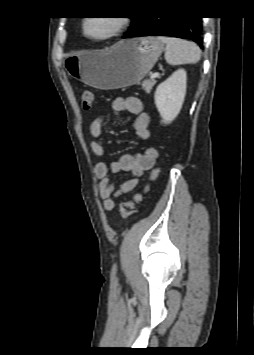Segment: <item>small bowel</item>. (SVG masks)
I'll list each match as a JSON object with an SVG mask.
<instances>
[{
	"instance_id": "1",
	"label": "small bowel",
	"mask_w": 254,
	"mask_h": 355,
	"mask_svg": "<svg viewBox=\"0 0 254 355\" xmlns=\"http://www.w3.org/2000/svg\"><path fill=\"white\" fill-rule=\"evenodd\" d=\"M113 112L120 113L127 111L135 115L133 128L136 137L141 141L150 138L149 123L150 117L143 112L142 101L137 97H117L112 101ZM104 117H99L92 121L89 127L90 147L92 152L98 157H104L105 148L101 143L103 135ZM158 159V151L154 147H146L142 153L122 154L117 161L109 165L100 162L95 166V175L99 179V194L103 202L105 211H111L115 206V199L125 193L133 191L139 184L144 172L154 167ZM120 171L130 172L132 178L124 181L118 188L110 179V173Z\"/></svg>"
}]
</instances>
